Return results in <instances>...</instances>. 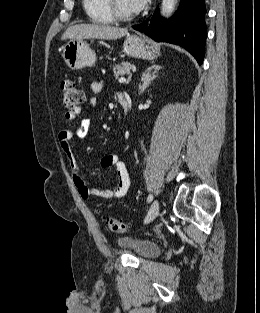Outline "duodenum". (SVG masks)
Returning <instances> with one entry per match:
<instances>
[{
  "label": "duodenum",
  "instance_id": "410a0bca",
  "mask_svg": "<svg viewBox=\"0 0 260 313\" xmlns=\"http://www.w3.org/2000/svg\"><path fill=\"white\" fill-rule=\"evenodd\" d=\"M119 102L120 105L122 107V109L124 110L125 113H127L128 109H129V101L126 97L124 96H120L119 97Z\"/></svg>",
  "mask_w": 260,
  "mask_h": 313
}]
</instances>
